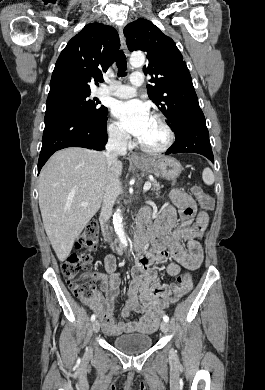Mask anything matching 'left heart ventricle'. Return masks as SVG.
<instances>
[{
    "mask_svg": "<svg viewBox=\"0 0 265 390\" xmlns=\"http://www.w3.org/2000/svg\"><path fill=\"white\" fill-rule=\"evenodd\" d=\"M166 139V134L161 125L153 118L148 125L144 135L139 139L143 144L149 147H159Z\"/></svg>",
    "mask_w": 265,
    "mask_h": 390,
    "instance_id": "obj_1",
    "label": "left heart ventricle"
}]
</instances>
